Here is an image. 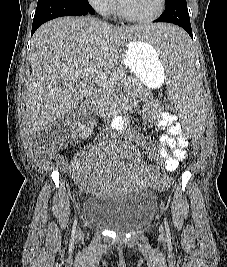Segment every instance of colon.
Instances as JSON below:
<instances>
[{"instance_id":"5ec220e1","label":"colon","mask_w":227,"mask_h":267,"mask_svg":"<svg viewBox=\"0 0 227 267\" xmlns=\"http://www.w3.org/2000/svg\"><path fill=\"white\" fill-rule=\"evenodd\" d=\"M164 108L167 113H177L178 109L175 108L174 104H165ZM69 133L65 124L62 122H53L47 128L41 131L37 137V143L42 148L48 150L49 152H55L61 148L63 143L68 138ZM194 159V153H185L181 155L178 160V166L174 169V173H170L167 170V178H164L159 187H154V192H165L166 188L170 184L169 178H174V174H181V171H189V164L192 163Z\"/></svg>"}]
</instances>
